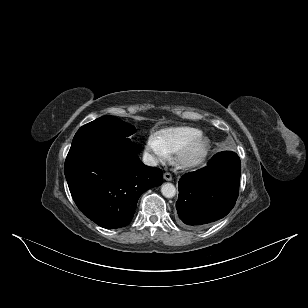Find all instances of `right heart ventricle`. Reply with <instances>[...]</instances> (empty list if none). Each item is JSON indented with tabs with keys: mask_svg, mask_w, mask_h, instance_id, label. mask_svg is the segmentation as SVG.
<instances>
[{
	"mask_svg": "<svg viewBox=\"0 0 308 308\" xmlns=\"http://www.w3.org/2000/svg\"><path fill=\"white\" fill-rule=\"evenodd\" d=\"M201 131L190 126L171 127L160 130L155 137L162 147L169 153L178 152L192 138L199 135Z\"/></svg>",
	"mask_w": 308,
	"mask_h": 308,
	"instance_id": "obj_1",
	"label": "right heart ventricle"
}]
</instances>
